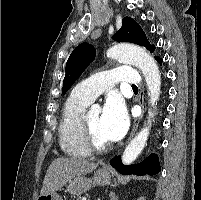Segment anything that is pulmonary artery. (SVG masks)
I'll return each mask as SVG.
<instances>
[{"mask_svg":"<svg viewBox=\"0 0 201 200\" xmlns=\"http://www.w3.org/2000/svg\"><path fill=\"white\" fill-rule=\"evenodd\" d=\"M117 82L137 85L140 82V77L132 67L124 65L80 82L74 87L72 94L91 103Z\"/></svg>","mask_w":201,"mask_h":200,"instance_id":"obj_1","label":"pulmonary artery"}]
</instances>
